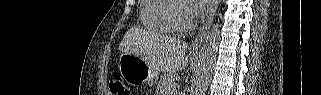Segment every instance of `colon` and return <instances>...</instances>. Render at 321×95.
<instances>
[{
    "mask_svg": "<svg viewBox=\"0 0 321 95\" xmlns=\"http://www.w3.org/2000/svg\"><path fill=\"white\" fill-rule=\"evenodd\" d=\"M110 90L114 94L129 95V89L123 82L122 78L118 75H114L110 80Z\"/></svg>",
    "mask_w": 321,
    "mask_h": 95,
    "instance_id": "5ec220e1",
    "label": "colon"
}]
</instances>
